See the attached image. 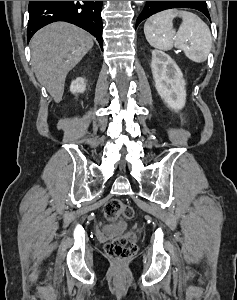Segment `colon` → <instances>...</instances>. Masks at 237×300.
<instances>
[{"mask_svg":"<svg viewBox=\"0 0 237 300\" xmlns=\"http://www.w3.org/2000/svg\"><path fill=\"white\" fill-rule=\"evenodd\" d=\"M103 214L106 219L112 220L118 217L132 219L134 211L132 207L124 204L121 200L110 199L103 207ZM105 251L109 257L117 262L129 260L136 252L135 236L129 232L121 237L112 239L105 245Z\"/></svg>","mask_w":237,"mask_h":300,"instance_id":"colon-1","label":"colon"}]
</instances>
